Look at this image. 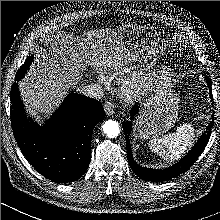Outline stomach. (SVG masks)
<instances>
[{
  "label": "stomach",
  "mask_w": 220,
  "mask_h": 220,
  "mask_svg": "<svg viewBox=\"0 0 220 220\" xmlns=\"http://www.w3.org/2000/svg\"><path fill=\"white\" fill-rule=\"evenodd\" d=\"M120 33L131 56L154 51L160 40L156 30L133 24L123 25ZM178 103L177 94L171 90L155 97L138 122L136 136L149 139L171 129L178 118Z\"/></svg>",
  "instance_id": "obj_1"
}]
</instances>
